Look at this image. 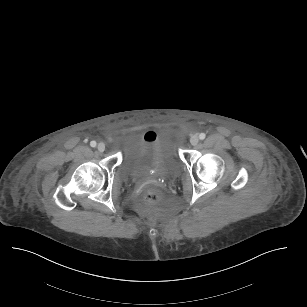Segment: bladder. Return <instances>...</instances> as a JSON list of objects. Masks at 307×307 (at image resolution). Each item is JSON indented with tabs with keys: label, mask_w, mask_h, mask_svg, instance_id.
<instances>
[{
	"label": "bladder",
	"mask_w": 307,
	"mask_h": 307,
	"mask_svg": "<svg viewBox=\"0 0 307 307\" xmlns=\"http://www.w3.org/2000/svg\"><path fill=\"white\" fill-rule=\"evenodd\" d=\"M180 165L174 147L158 139L134 143L122 153V174L131 180H144L152 172L161 176H172L178 173Z\"/></svg>",
	"instance_id": "bladder-1"
}]
</instances>
